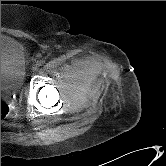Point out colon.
Returning a JSON list of instances; mask_svg holds the SVG:
<instances>
[{"label":"colon","instance_id":"obj_1","mask_svg":"<svg viewBox=\"0 0 166 166\" xmlns=\"http://www.w3.org/2000/svg\"><path fill=\"white\" fill-rule=\"evenodd\" d=\"M9 113V106L8 104L4 101L1 100V120H3Z\"/></svg>","mask_w":166,"mask_h":166}]
</instances>
